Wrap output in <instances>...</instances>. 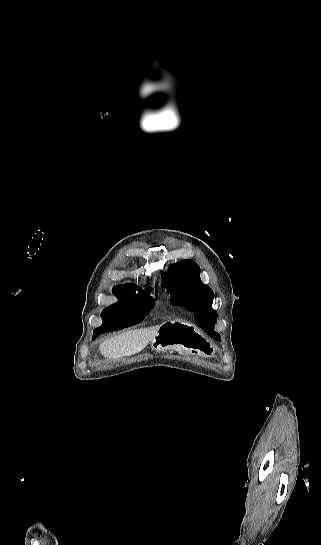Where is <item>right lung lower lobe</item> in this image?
<instances>
[{
    "label": "right lung lower lobe",
    "instance_id": "98d812e1",
    "mask_svg": "<svg viewBox=\"0 0 321 545\" xmlns=\"http://www.w3.org/2000/svg\"><path fill=\"white\" fill-rule=\"evenodd\" d=\"M103 314L112 318H126L132 314V308L128 305H113V306L105 308L101 315ZM119 329H122V327L121 328L119 327L113 330L101 329L100 327L96 328L93 331L92 339H95L100 334L106 333L108 331H114Z\"/></svg>",
    "mask_w": 321,
    "mask_h": 545
}]
</instances>
